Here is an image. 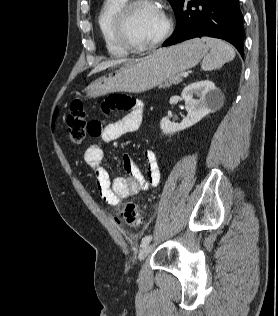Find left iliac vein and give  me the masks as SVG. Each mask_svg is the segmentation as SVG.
<instances>
[{
    "instance_id": "obj_1",
    "label": "left iliac vein",
    "mask_w": 278,
    "mask_h": 316,
    "mask_svg": "<svg viewBox=\"0 0 278 316\" xmlns=\"http://www.w3.org/2000/svg\"><path fill=\"white\" fill-rule=\"evenodd\" d=\"M153 250V245H148L143 248V250L139 254V260L143 261Z\"/></svg>"
}]
</instances>
